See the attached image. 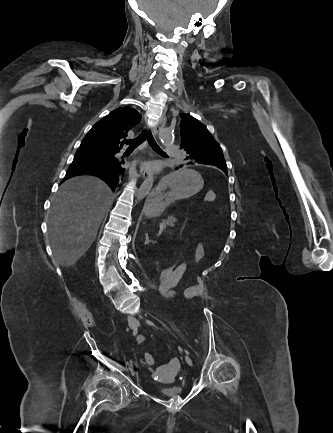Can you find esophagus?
<instances>
[{"label": "esophagus", "mask_w": 333, "mask_h": 433, "mask_svg": "<svg viewBox=\"0 0 333 433\" xmlns=\"http://www.w3.org/2000/svg\"><path fill=\"white\" fill-rule=\"evenodd\" d=\"M164 126V118H162L157 124L156 126H154L153 128V134L154 136H157L160 132V130L162 129V127ZM141 175L144 179H146L149 175H150V170L148 169L147 166H142L141 167Z\"/></svg>", "instance_id": "obj_1"}]
</instances>
